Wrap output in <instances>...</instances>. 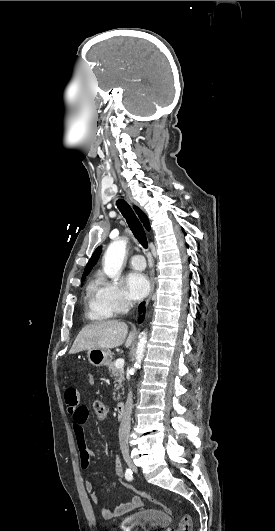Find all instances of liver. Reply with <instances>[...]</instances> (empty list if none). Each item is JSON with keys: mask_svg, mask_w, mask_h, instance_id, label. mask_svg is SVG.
<instances>
[{"mask_svg": "<svg viewBox=\"0 0 275 531\" xmlns=\"http://www.w3.org/2000/svg\"><path fill=\"white\" fill-rule=\"evenodd\" d=\"M126 323L119 321H94L92 325H86L77 335L69 353H80V351H89L93 347L100 349H114L120 347L125 341V347L128 349L134 341L133 333H129Z\"/></svg>", "mask_w": 275, "mask_h": 531, "instance_id": "obj_1", "label": "liver"}]
</instances>
